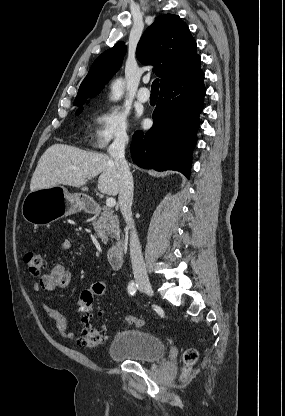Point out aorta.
<instances>
[{
  "mask_svg": "<svg viewBox=\"0 0 285 416\" xmlns=\"http://www.w3.org/2000/svg\"><path fill=\"white\" fill-rule=\"evenodd\" d=\"M124 82L122 79H117L111 86L112 100H119L123 95Z\"/></svg>",
  "mask_w": 285,
  "mask_h": 416,
  "instance_id": "obj_1",
  "label": "aorta"
}]
</instances>
